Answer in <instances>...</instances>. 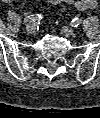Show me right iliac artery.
Wrapping results in <instances>:
<instances>
[{
    "label": "right iliac artery",
    "instance_id": "right-iliac-artery-1",
    "mask_svg": "<svg viewBox=\"0 0 100 118\" xmlns=\"http://www.w3.org/2000/svg\"><path fill=\"white\" fill-rule=\"evenodd\" d=\"M42 19L41 14H36V15H30L24 18L25 22H33V23H39L40 20Z\"/></svg>",
    "mask_w": 100,
    "mask_h": 118
}]
</instances>
